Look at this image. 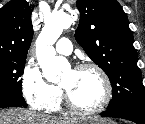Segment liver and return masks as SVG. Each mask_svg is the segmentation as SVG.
<instances>
[{
    "label": "liver",
    "instance_id": "liver-1",
    "mask_svg": "<svg viewBox=\"0 0 145 124\" xmlns=\"http://www.w3.org/2000/svg\"><path fill=\"white\" fill-rule=\"evenodd\" d=\"M80 118H51L22 109L0 110V124H77Z\"/></svg>",
    "mask_w": 145,
    "mask_h": 124
}]
</instances>
